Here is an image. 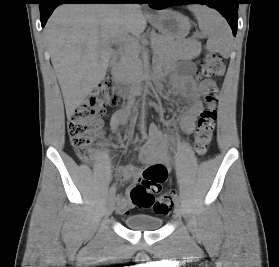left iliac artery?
Instances as JSON below:
<instances>
[{
  "label": "left iliac artery",
  "mask_w": 279,
  "mask_h": 267,
  "mask_svg": "<svg viewBox=\"0 0 279 267\" xmlns=\"http://www.w3.org/2000/svg\"><path fill=\"white\" fill-rule=\"evenodd\" d=\"M174 201H175V203H179V197H178V195H175V196H174Z\"/></svg>",
  "instance_id": "left-iliac-artery-1"
}]
</instances>
